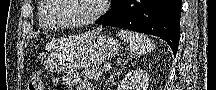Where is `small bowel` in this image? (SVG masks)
Masks as SVG:
<instances>
[{"mask_svg":"<svg viewBox=\"0 0 216 90\" xmlns=\"http://www.w3.org/2000/svg\"><path fill=\"white\" fill-rule=\"evenodd\" d=\"M62 84L66 90L77 88V90H93L92 85L81 78L76 70H68L62 77Z\"/></svg>","mask_w":216,"mask_h":90,"instance_id":"obj_1","label":"small bowel"}]
</instances>
